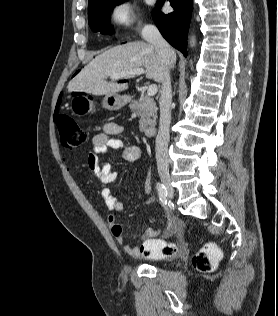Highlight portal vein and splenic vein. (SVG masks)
I'll return each instance as SVG.
<instances>
[{"instance_id":"obj_1","label":"portal vein and splenic vein","mask_w":278,"mask_h":316,"mask_svg":"<svg viewBox=\"0 0 278 316\" xmlns=\"http://www.w3.org/2000/svg\"><path fill=\"white\" fill-rule=\"evenodd\" d=\"M144 69L143 68H137V69H133V70H129V71H123L117 74H114L112 76H110L111 79H120V78H125L128 77L130 75H142L144 74ZM157 85L152 84L149 85L148 90H147V95L148 96H153L157 93Z\"/></svg>"}]
</instances>
